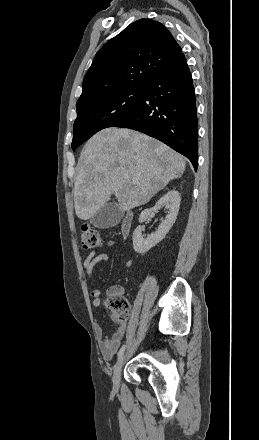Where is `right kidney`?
<instances>
[{
	"instance_id": "ca27d5eb",
	"label": "right kidney",
	"mask_w": 259,
	"mask_h": 440,
	"mask_svg": "<svg viewBox=\"0 0 259 440\" xmlns=\"http://www.w3.org/2000/svg\"><path fill=\"white\" fill-rule=\"evenodd\" d=\"M180 195L178 191L171 190L168 191L163 197H161L155 204L154 207L150 209H145L141 212L139 216V222L143 223L148 218L154 217L155 213L162 207L165 206L169 209L166 219L159 225L157 231L152 233L147 238H144L142 231L144 227L139 225L133 233V248L138 254H144L148 252L152 247L162 241L166 234L169 232L175 220L180 207Z\"/></svg>"
}]
</instances>
